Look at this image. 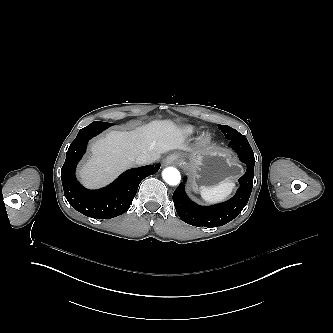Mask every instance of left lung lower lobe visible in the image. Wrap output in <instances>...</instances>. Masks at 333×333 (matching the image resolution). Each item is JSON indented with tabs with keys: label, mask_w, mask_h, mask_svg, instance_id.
<instances>
[{
	"label": "left lung lower lobe",
	"mask_w": 333,
	"mask_h": 333,
	"mask_svg": "<svg viewBox=\"0 0 333 333\" xmlns=\"http://www.w3.org/2000/svg\"><path fill=\"white\" fill-rule=\"evenodd\" d=\"M221 131L224 130L221 129ZM225 137L230 141L229 146L237 152L239 159L247 166L245 174L239 178L240 187L235 196L224 203L199 206L187 197L184 187L186 179H184L173 194V202L177 214L187 224L209 228L225 225L233 220L248 203L253 187L255 165L253 150L247 138L235 129L231 128Z\"/></svg>",
	"instance_id": "1"
}]
</instances>
